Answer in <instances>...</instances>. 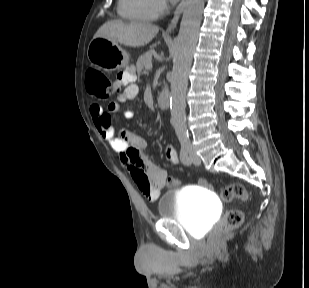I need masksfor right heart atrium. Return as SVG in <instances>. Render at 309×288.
I'll list each match as a JSON object with an SVG mask.
<instances>
[{"label":"right heart atrium","instance_id":"d8ad5b80","mask_svg":"<svg viewBox=\"0 0 309 288\" xmlns=\"http://www.w3.org/2000/svg\"><path fill=\"white\" fill-rule=\"evenodd\" d=\"M158 15L163 14L167 10L166 0H152Z\"/></svg>","mask_w":309,"mask_h":288}]
</instances>
